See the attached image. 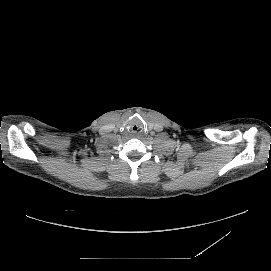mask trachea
<instances>
[{"instance_id": "1", "label": "trachea", "mask_w": 271, "mask_h": 271, "mask_svg": "<svg viewBox=\"0 0 271 271\" xmlns=\"http://www.w3.org/2000/svg\"><path fill=\"white\" fill-rule=\"evenodd\" d=\"M129 130L130 131H137L138 129H140V127H141V122H140V120H138V119H133V120H131V122L129 123Z\"/></svg>"}]
</instances>
